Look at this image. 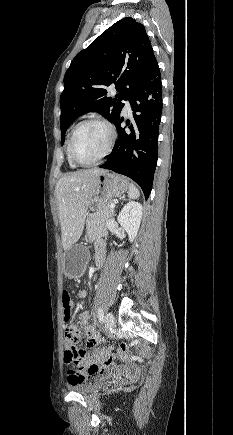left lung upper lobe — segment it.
Returning a JSON list of instances; mask_svg holds the SVG:
<instances>
[{
  "label": "left lung upper lobe",
  "instance_id": "obj_1",
  "mask_svg": "<svg viewBox=\"0 0 233 435\" xmlns=\"http://www.w3.org/2000/svg\"><path fill=\"white\" fill-rule=\"evenodd\" d=\"M157 64L145 27L135 19L119 20L72 60L60 96L61 135L82 114L98 112L113 123L122 100L132 97ZM118 94L107 97V87Z\"/></svg>",
  "mask_w": 233,
  "mask_h": 435
}]
</instances>
